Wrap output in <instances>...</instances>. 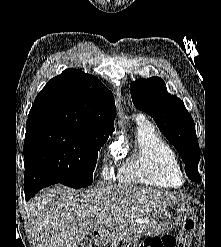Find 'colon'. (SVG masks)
Wrapping results in <instances>:
<instances>
[{
  "label": "colon",
  "instance_id": "colon-1",
  "mask_svg": "<svg viewBox=\"0 0 221 247\" xmlns=\"http://www.w3.org/2000/svg\"><path fill=\"white\" fill-rule=\"evenodd\" d=\"M195 226V219L187 218L182 223L177 238L170 236L148 238L141 247H192ZM78 247H92V245L89 241H84Z\"/></svg>",
  "mask_w": 221,
  "mask_h": 247
}]
</instances>
